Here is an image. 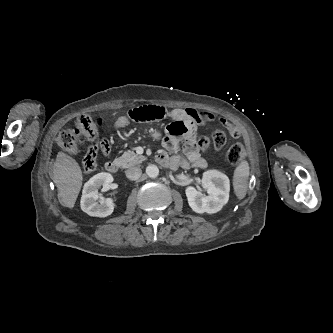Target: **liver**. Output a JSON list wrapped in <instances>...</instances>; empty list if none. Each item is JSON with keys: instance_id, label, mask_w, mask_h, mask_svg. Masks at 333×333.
Returning <instances> with one entry per match:
<instances>
[{"instance_id": "obj_1", "label": "liver", "mask_w": 333, "mask_h": 333, "mask_svg": "<svg viewBox=\"0 0 333 333\" xmlns=\"http://www.w3.org/2000/svg\"><path fill=\"white\" fill-rule=\"evenodd\" d=\"M82 181V171L77 161L63 152H58L54 164V183L59 199L66 207H74Z\"/></svg>"}]
</instances>
